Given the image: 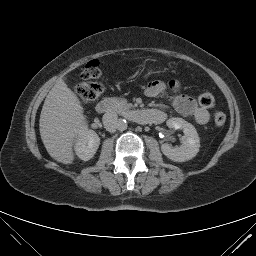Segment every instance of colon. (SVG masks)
Masks as SVG:
<instances>
[{
  "instance_id": "colon-1",
  "label": "colon",
  "mask_w": 256,
  "mask_h": 256,
  "mask_svg": "<svg viewBox=\"0 0 256 256\" xmlns=\"http://www.w3.org/2000/svg\"><path fill=\"white\" fill-rule=\"evenodd\" d=\"M102 71L97 60H91L82 71V79L76 86V93L85 103H90L97 100L102 92L103 85L98 81L101 78ZM199 104L204 108H212L215 105V98L209 92H203L198 96ZM214 123L221 127L225 124L226 115L222 111L213 113Z\"/></svg>"
}]
</instances>
